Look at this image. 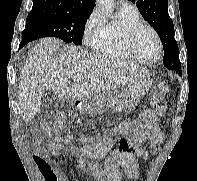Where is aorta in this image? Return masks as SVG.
Wrapping results in <instances>:
<instances>
[{"mask_svg":"<svg viewBox=\"0 0 197 181\" xmlns=\"http://www.w3.org/2000/svg\"><path fill=\"white\" fill-rule=\"evenodd\" d=\"M96 2L107 13L113 10L114 0H96Z\"/></svg>","mask_w":197,"mask_h":181,"instance_id":"aorta-1","label":"aorta"}]
</instances>
